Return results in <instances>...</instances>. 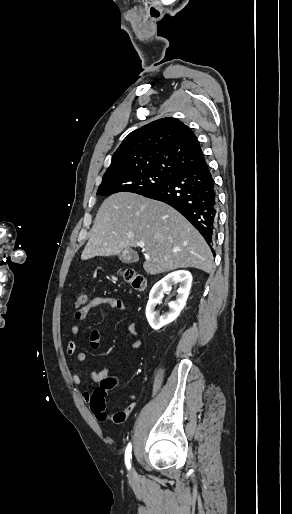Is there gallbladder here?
Masks as SVG:
<instances>
[{
    "instance_id": "1",
    "label": "gallbladder",
    "mask_w": 292,
    "mask_h": 514,
    "mask_svg": "<svg viewBox=\"0 0 292 514\" xmlns=\"http://www.w3.org/2000/svg\"><path fill=\"white\" fill-rule=\"evenodd\" d=\"M134 260H135V262H138L139 258L137 256V254H134Z\"/></svg>"
}]
</instances>
